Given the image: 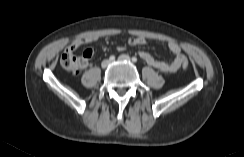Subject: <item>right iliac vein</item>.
<instances>
[{
  "label": "right iliac vein",
  "mask_w": 244,
  "mask_h": 157,
  "mask_svg": "<svg viewBox=\"0 0 244 157\" xmlns=\"http://www.w3.org/2000/svg\"><path fill=\"white\" fill-rule=\"evenodd\" d=\"M109 64H110V61H109V60H104V61L101 63V66H102V68H106V67H108Z\"/></svg>",
  "instance_id": "1"
}]
</instances>
